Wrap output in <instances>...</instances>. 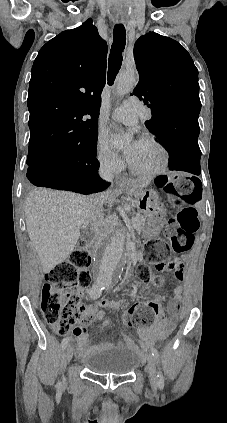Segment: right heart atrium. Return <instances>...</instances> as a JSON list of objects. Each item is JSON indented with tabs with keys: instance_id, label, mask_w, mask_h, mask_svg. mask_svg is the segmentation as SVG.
Masks as SVG:
<instances>
[{
	"instance_id": "right-heart-atrium-1",
	"label": "right heart atrium",
	"mask_w": 227,
	"mask_h": 423,
	"mask_svg": "<svg viewBox=\"0 0 227 423\" xmlns=\"http://www.w3.org/2000/svg\"><path fill=\"white\" fill-rule=\"evenodd\" d=\"M96 160L106 172L114 175L122 173L125 162L110 146L109 140L104 135H98L96 140Z\"/></svg>"
}]
</instances>
